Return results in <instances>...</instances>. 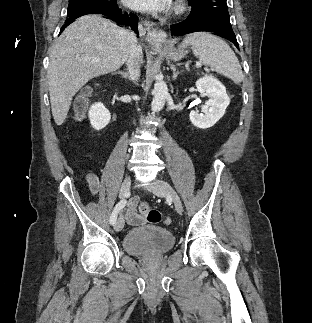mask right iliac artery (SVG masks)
<instances>
[{
	"mask_svg": "<svg viewBox=\"0 0 312 323\" xmlns=\"http://www.w3.org/2000/svg\"><path fill=\"white\" fill-rule=\"evenodd\" d=\"M125 205H126V200H121L120 202H118L115 205V207L112 211V214L110 216V224L111 225H114L116 223L117 215H118L119 211L125 207Z\"/></svg>",
	"mask_w": 312,
	"mask_h": 323,
	"instance_id": "obj_1",
	"label": "right iliac artery"
}]
</instances>
